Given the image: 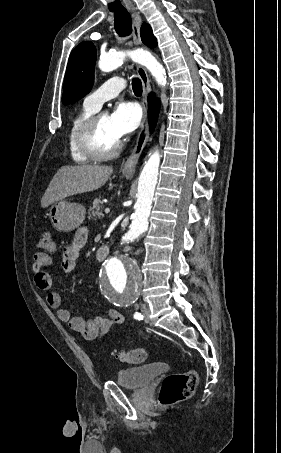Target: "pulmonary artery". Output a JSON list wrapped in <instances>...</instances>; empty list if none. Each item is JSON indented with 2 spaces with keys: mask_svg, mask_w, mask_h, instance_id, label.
<instances>
[{
  "mask_svg": "<svg viewBox=\"0 0 281 453\" xmlns=\"http://www.w3.org/2000/svg\"><path fill=\"white\" fill-rule=\"evenodd\" d=\"M106 87H113L114 89L105 93L100 91ZM124 87L125 81L120 77H113L107 80L106 82L101 84L97 91H95L88 97L87 100L89 102V105L92 108L99 110L106 101L116 97L120 93V91L124 89Z\"/></svg>",
  "mask_w": 281,
  "mask_h": 453,
  "instance_id": "obj_1",
  "label": "pulmonary artery"
}]
</instances>
